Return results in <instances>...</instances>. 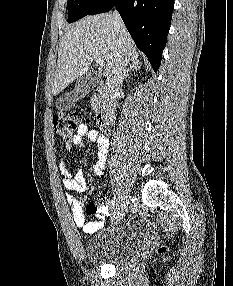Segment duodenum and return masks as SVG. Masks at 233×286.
I'll return each mask as SVG.
<instances>
[{
  "mask_svg": "<svg viewBox=\"0 0 233 286\" xmlns=\"http://www.w3.org/2000/svg\"><path fill=\"white\" fill-rule=\"evenodd\" d=\"M95 116L98 127L104 131H110V110L108 104L107 91L103 84H100L95 93Z\"/></svg>",
  "mask_w": 233,
  "mask_h": 286,
  "instance_id": "duodenum-1",
  "label": "duodenum"
}]
</instances>
